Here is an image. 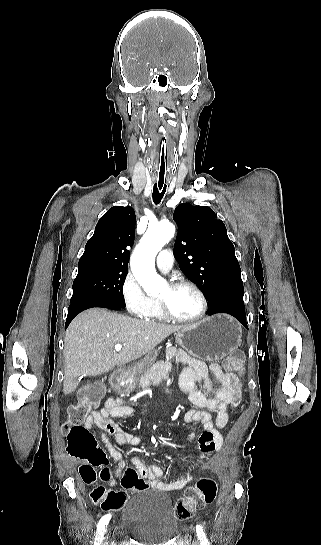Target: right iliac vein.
I'll use <instances>...</instances> for the list:
<instances>
[{
	"label": "right iliac vein",
	"mask_w": 321,
	"mask_h": 545,
	"mask_svg": "<svg viewBox=\"0 0 321 545\" xmlns=\"http://www.w3.org/2000/svg\"><path fill=\"white\" fill-rule=\"evenodd\" d=\"M108 536H109V533L106 532V533H105V536H104V539L107 540V539H108Z\"/></svg>",
	"instance_id": "1"
}]
</instances>
